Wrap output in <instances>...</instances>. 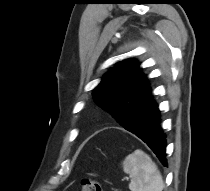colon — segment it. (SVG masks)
I'll use <instances>...</instances> for the list:
<instances>
[{
	"mask_svg": "<svg viewBox=\"0 0 210 191\" xmlns=\"http://www.w3.org/2000/svg\"><path fill=\"white\" fill-rule=\"evenodd\" d=\"M81 191H103L99 181L91 178H84L81 182Z\"/></svg>",
	"mask_w": 210,
	"mask_h": 191,
	"instance_id": "colon-1",
	"label": "colon"
}]
</instances>
